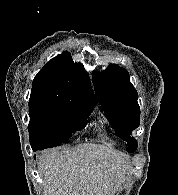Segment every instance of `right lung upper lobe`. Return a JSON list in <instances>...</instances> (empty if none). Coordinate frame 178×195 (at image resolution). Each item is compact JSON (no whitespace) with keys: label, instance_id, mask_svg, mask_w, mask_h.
<instances>
[{"label":"right lung upper lobe","instance_id":"obj_1","mask_svg":"<svg viewBox=\"0 0 178 195\" xmlns=\"http://www.w3.org/2000/svg\"><path fill=\"white\" fill-rule=\"evenodd\" d=\"M30 101L97 103L89 75L68 52L52 58L36 75Z\"/></svg>","mask_w":178,"mask_h":195}]
</instances>
